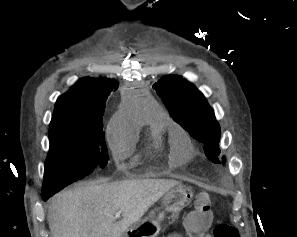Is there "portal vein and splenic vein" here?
Listing matches in <instances>:
<instances>
[{"mask_svg": "<svg viewBox=\"0 0 297 237\" xmlns=\"http://www.w3.org/2000/svg\"><path fill=\"white\" fill-rule=\"evenodd\" d=\"M120 214H121V211H118V212L116 213V217H119Z\"/></svg>", "mask_w": 297, "mask_h": 237, "instance_id": "obj_1", "label": "portal vein and splenic vein"}]
</instances>
